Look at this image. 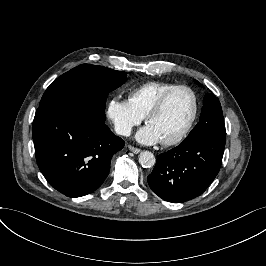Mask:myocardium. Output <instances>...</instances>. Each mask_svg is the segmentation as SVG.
<instances>
[{
  "label": "myocardium",
  "mask_w": 266,
  "mask_h": 266,
  "mask_svg": "<svg viewBox=\"0 0 266 266\" xmlns=\"http://www.w3.org/2000/svg\"><path fill=\"white\" fill-rule=\"evenodd\" d=\"M179 89H185L191 93L193 100H194V111H193V115L190 121L188 122V124L185 126V128L180 132V134L177 137H175L174 139H170V140H161V143L166 146H173V145L180 144L187 137V135L190 133L193 126L195 125V122L199 115V109H200L199 98H198L196 91L189 85L176 84L175 86L169 88L168 90H166L160 95L158 100L150 107V109L148 110L145 116L146 121L149 122L151 117H153L155 114H158L159 112L163 110L171 94Z\"/></svg>",
  "instance_id": "obj_1"
}]
</instances>
